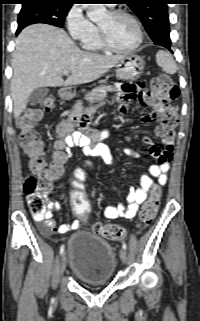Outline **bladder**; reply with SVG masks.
Returning <instances> with one entry per match:
<instances>
[{"instance_id":"obj_1","label":"bladder","mask_w":200,"mask_h":321,"mask_svg":"<svg viewBox=\"0 0 200 321\" xmlns=\"http://www.w3.org/2000/svg\"><path fill=\"white\" fill-rule=\"evenodd\" d=\"M67 255L72 273L86 284L108 283L115 274L117 261L112 246L90 232L72 233L67 241Z\"/></svg>"}]
</instances>
